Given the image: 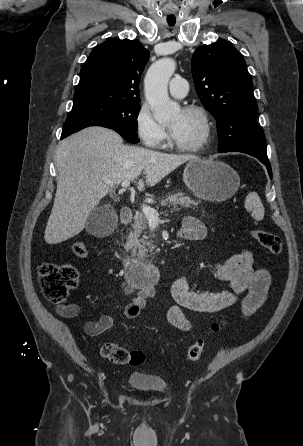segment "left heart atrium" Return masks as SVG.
Segmentation results:
<instances>
[{
	"mask_svg": "<svg viewBox=\"0 0 303 446\" xmlns=\"http://www.w3.org/2000/svg\"><path fill=\"white\" fill-rule=\"evenodd\" d=\"M176 130H177V126L176 125H173V126L170 127V131H171L172 136L175 135Z\"/></svg>",
	"mask_w": 303,
	"mask_h": 446,
	"instance_id": "39dd6f15",
	"label": "left heart atrium"
}]
</instances>
